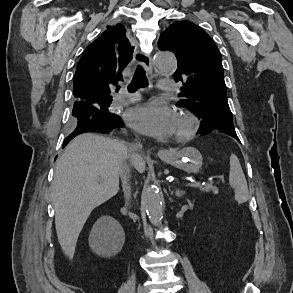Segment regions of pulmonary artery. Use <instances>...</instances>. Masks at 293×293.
<instances>
[{"label": "pulmonary artery", "instance_id": "obj_1", "mask_svg": "<svg viewBox=\"0 0 293 293\" xmlns=\"http://www.w3.org/2000/svg\"><path fill=\"white\" fill-rule=\"evenodd\" d=\"M158 87L161 91H173L177 88V84L173 80L161 79L158 82ZM137 99V94H128L124 89H122L117 97V103L124 105L136 101Z\"/></svg>", "mask_w": 293, "mask_h": 293}]
</instances>
